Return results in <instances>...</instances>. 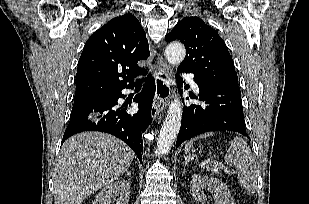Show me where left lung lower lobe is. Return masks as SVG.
Listing matches in <instances>:
<instances>
[{
	"mask_svg": "<svg viewBox=\"0 0 309 204\" xmlns=\"http://www.w3.org/2000/svg\"><path fill=\"white\" fill-rule=\"evenodd\" d=\"M194 81L200 90L197 98L203 104L184 106L176 148L185 140L209 131H235L248 137L239 86L198 75H194Z\"/></svg>",
	"mask_w": 309,
	"mask_h": 204,
	"instance_id": "0a47b994",
	"label": "left lung lower lobe"
}]
</instances>
